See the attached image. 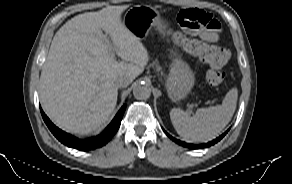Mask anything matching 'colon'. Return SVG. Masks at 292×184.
Here are the masks:
<instances>
[{
	"instance_id": "1",
	"label": "colon",
	"mask_w": 292,
	"mask_h": 184,
	"mask_svg": "<svg viewBox=\"0 0 292 184\" xmlns=\"http://www.w3.org/2000/svg\"><path fill=\"white\" fill-rule=\"evenodd\" d=\"M177 19L181 27L190 33H197L201 29H220L218 20L212 14L200 9L181 10ZM175 39L186 52L197 56L211 67L206 75L210 85L216 86L224 81L225 73L222 68L230 60V52L226 48L181 35H176Z\"/></svg>"
}]
</instances>
